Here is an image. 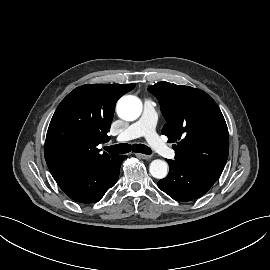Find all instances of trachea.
Returning <instances> with one entry per match:
<instances>
[{
	"label": "trachea",
	"mask_w": 270,
	"mask_h": 270,
	"mask_svg": "<svg viewBox=\"0 0 270 270\" xmlns=\"http://www.w3.org/2000/svg\"><path fill=\"white\" fill-rule=\"evenodd\" d=\"M105 150L112 155L128 153L131 150L136 153L151 154V149L143 144H116L109 147H105Z\"/></svg>",
	"instance_id": "trachea-1"
}]
</instances>
